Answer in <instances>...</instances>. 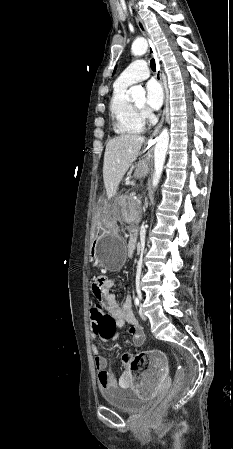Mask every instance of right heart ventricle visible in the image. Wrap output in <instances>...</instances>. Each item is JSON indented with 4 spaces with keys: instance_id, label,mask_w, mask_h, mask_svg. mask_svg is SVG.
Returning a JSON list of instances; mask_svg holds the SVG:
<instances>
[{
    "instance_id": "e07e8e85",
    "label": "right heart ventricle",
    "mask_w": 233,
    "mask_h": 449,
    "mask_svg": "<svg viewBox=\"0 0 233 449\" xmlns=\"http://www.w3.org/2000/svg\"><path fill=\"white\" fill-rule=\"evenodd\" d=\"M127 91V85L115 82L109 103L113 129L118 135L139 134L145 128L144 118L133 109Z\"/></svg>"
}]
</instances>
